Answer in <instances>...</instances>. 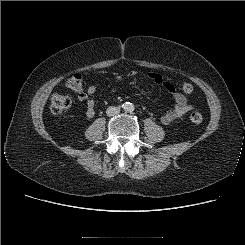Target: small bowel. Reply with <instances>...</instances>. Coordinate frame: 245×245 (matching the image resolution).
Returning a JSON list of instances; mask_svg holds the SVG:
<instances>
[{"label": "small bowel", "instance_id": "obj_1", "mask_svg": "<svg viewBox=\"0 0 245 245\" xmlns=\"http://www.w3.org/2000/svg\"><path fill=\"white\" fill-rule=\"evenodd\" d=\"M135 74H136L135 71H131L126 76L118 77L116 79L115 85L112 88V91L115 90L116 85L122 79H124L125 77H133L135 76ZM147 77L151 81L155 82L156 84L164 87L172 97L173 100L172 107L161 116V122L164 125H168L173 121L179 119L190 110V106L187 104L186 98L181 93H179L176 90L175 86L171 82L166 80L161 74L155 72H149L147 74ZM95 92H96V86L90 85L86 92H81L78 96L79 100L84 102L85 104L86 116L88 118H92L95 116V102L92 98V95Z\"/></svg>", "mask_w": 245, "mask_h": 245}]
</instances>
